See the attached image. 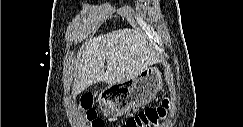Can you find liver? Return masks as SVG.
<instances>
[{"label": "liver", "instance_id": "obj_1", "mask_svg": "<svg viewBox=\"0 0 243 127\" xmlns=\"http://www.w3.org/2000/svg\"><path fill=\"white\" fill-rule=\"evenodd\" d=\"M157 62L155 51L136 29L125 28L99 35L80 50L73 94L97 82L116 84L135 78Z\"/></svg>", "mask_w": 243, "mask_h": 127}]
</instances>
